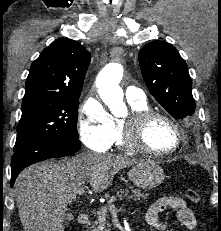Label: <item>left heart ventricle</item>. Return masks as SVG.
Instances as JSON below:
<instances>
[{"label": "left heart ventricle", "mask_w": 221, "mask_h": 231, "mask_svg": "<svg viewBox=\"0 0 221 231\" xmlns=\"http://www.w3.org/2000/svg\"><path fill=\"white\" fill-rule=\"evenodd\" d=\"M145 140L147 146L155 151H168L175 146L177 136L169 123L157 119L149 124Z\"/></svg>", "instance_id": "b2bd125f"}]
</instances>
